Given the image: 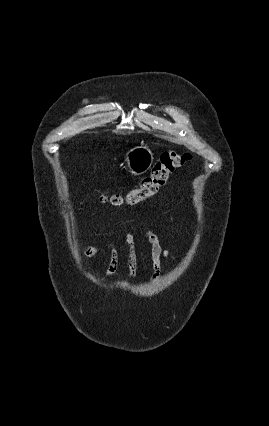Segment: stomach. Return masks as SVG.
I'll return each mask as SVG.
<instances>
[{
  "label": "stomach",
  "instance_id": "0dacf381",
  "mask_svg": "<svg viewBox=\"0 0 269 426\" xmlns=\"http://www.w3.org/2000/svg\"><path fill=\"white\" fill-rule=\"evenodd\" d=\"M153 162L154 154L147 146L134 147L125 154V168L134 176L146 173Z\"/></svg>",
  "mask_w": 269,
  "mask_h": 426
}]
</instances>
